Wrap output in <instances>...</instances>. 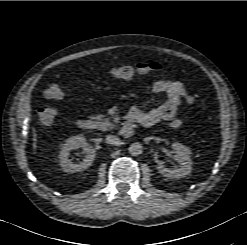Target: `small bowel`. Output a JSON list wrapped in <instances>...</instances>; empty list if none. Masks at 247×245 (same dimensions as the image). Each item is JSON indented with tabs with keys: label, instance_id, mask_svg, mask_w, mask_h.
I'll list each match as a JSON object with an SVG mask.
<instances>
[{
	"label": "small bowel",
	"instance_id": "c3829d8e",
	"mask_svg": "<svg viewBox=\"0 0 247 245\" xmlns=\"http://www.w3.org/2000/svg\"><path fill=\"white\" fill-rule=\"evenodd\" d=\"M152 89L156 94L165 95L167 101L148 110L139 107L132 108L131 114L143 126H152L161 121H173L183 104L193 105L195 103V97L186 90L180 81L158 80L153 84Z\"/></svg>",
	"mask_w": 247,
	"mask_h": 245
}]
</instances>
